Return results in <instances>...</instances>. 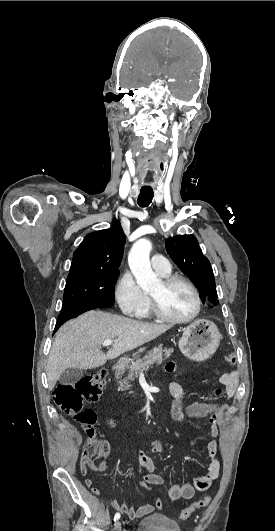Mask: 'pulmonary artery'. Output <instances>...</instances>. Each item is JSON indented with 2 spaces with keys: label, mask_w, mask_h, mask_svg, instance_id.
<instances>
[{
  "label": "pulmonary artery",
  "mask_w": 275,
  "mask_h": 531,
  "mask_svg": "<svg viewBox=\"0 0 275 531\" xmlns=\"http://www.w3.org/2000/svg\"><path fill=\"white\" fill-rule=\"evenodd\" d=\"M151 263L155 268V272L158 275H165L170 272V267L167 261H165V256L163 254H153L151 256Z\"/></svg>",
  "instance_id": "1"
}]
</instances>
